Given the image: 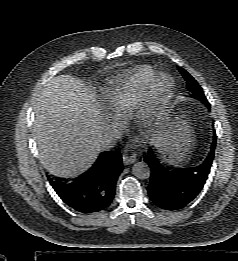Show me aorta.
<instances>
[{"label": "aorta", "instance_id": "1", "mask_svg": "<svg viewBox=\"0 0 238 261\" xmlns=\"http://www.w3.org/2000/svg\"><path fill=\"white\" fill-rule=\"evenodd\" d=\"M132 171L133 174L139 179H148L150 177V167L143 161L135 163Z\"/></svg>", "mask_w": 238, "mask_h": 261}]
</instances>
